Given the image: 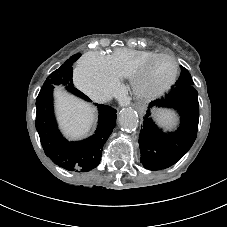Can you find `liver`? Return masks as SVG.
Wrapping results in <instances>:
<instances>
[{
	"instance_id": "1",
	"label": "liver",
	"mask_w": 227,
	"mask_h": 227,
	"mask_svg": "<svg viewBox=\"0 0 227 227\" xmlns=\"http://www.w3.org/2000/svg\"><path fill=\"white\" fill-rule=\"evenodd\" d=\"M55 106L60 128L66 137L80 139L89 132L95 119V110L90 105L57 88Z\"/></svg>"
}]
</instances>
